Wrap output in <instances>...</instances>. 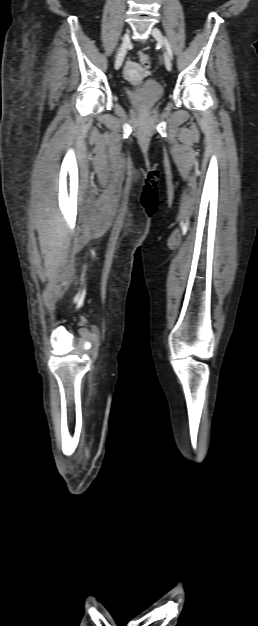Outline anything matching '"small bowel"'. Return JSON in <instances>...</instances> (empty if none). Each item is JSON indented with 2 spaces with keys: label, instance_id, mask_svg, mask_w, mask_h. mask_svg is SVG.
Wrapping results in <instances>:
<instances>
[{
  "label": "small bowel",
  "instance_id": "1",
  "mask_svg": "<svg viewBox=\"0 0 258 626\" xmlns=\"http://www.w3.org/2000/svg\"><path fill=\"white\" fill-rule=\"evenodd\" d=\"M127 67H128V70H132L134 67V64L132 62H129Z\"/></svg>",
  "mask_w": 258,
  "mask_h": 626
}]
</instances>
